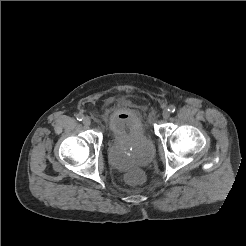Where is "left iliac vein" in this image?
I'll use <instances>...</instances> for the list:
<instances>
[{"label":"left iliac vein","mask_w":246,"mask_h":246,"mask_svg":"<svg viewBox=\"0 0 246 246\" xmlns=\"http://www.w3.org/2000/svg\"><path fill=\"white\" fill-rule=\"evenodd\" d=\"M169 116H170V113H169L168 109H164L163 112H162V117L164 119H168Z\"/></svg>","instance_id":"left-iliac-vein-1"}]
</instances>
